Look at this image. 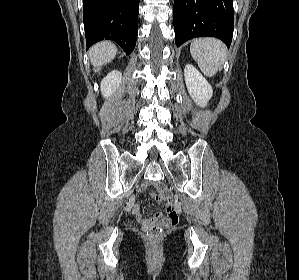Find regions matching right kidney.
I'll return each mask as SVG.
<instances>
[{
	"label": "right kidney",
	"instance_id": "1",
	"mask_svg": "<svg viewBox=\"0 0 299 280\" xmlns=\"http://www.w3.org/2000/svg\"><path fill=\"white\" fill-rule=\"evenodd\" d=\"M122 74L117 71H111L101 81V91L104 97H110L119 88Z\"/></svg>",
	"mask_w": 299,
	"mask_h": 280
}]
</instances>
